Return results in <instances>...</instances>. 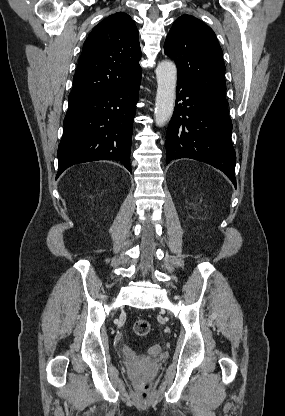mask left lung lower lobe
<instances>
[{"instance_id": "1", "label": "left lung lower lobe", "mask_w": 285, "mask_h": 416, "mask_svg": "<svg viewBox=\"0 0 285 416\" xmlns=\"http://www.w3.org/2000/svg\"><path fill=\"white\" fill-rule=\"evenodd\" d=\"M176 93V105L166 136L167 163L179 158L208 163L223 171L236 188V156L226 99L179 80Z\"/></svg>"}]
</instances>
